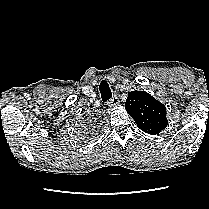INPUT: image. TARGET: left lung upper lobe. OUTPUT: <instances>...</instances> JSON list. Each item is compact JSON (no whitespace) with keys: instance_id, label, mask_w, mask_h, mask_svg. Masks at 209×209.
<instances>
[{"instance_id":"5c2ea615","label":"left lung upper lobe","mask_w":209,"mask_h":209,"mask_svg":"<svg viewBox=\"0 0 209 209\" xmlns=\"http://www.w3.org/2000/svg\"><path fill=\"white\" fill-rule=\"evenodd\" d=\"M125 109L145 133L159 134L168 125L166 107L145 91H131Z\"/></svg>"}]
</instances>
